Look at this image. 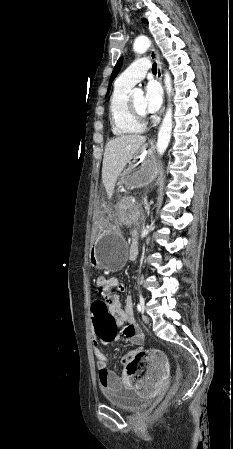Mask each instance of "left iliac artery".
Wrapping results in <instances>:
<instances>
[{
  "instance_id": "44dca946",
  "label": "left iliac artery",
  "mask_w": 233,
  "mask_h": 449,
  "mask_svg": "<svg viewBox=\"0 0 233 449\" xmlns=\"http://www.w3.org/2000/svg\"><path fill=\"white\" fill-rule=\"evenodd\" d=\"M137 309L139 312H143L144 309V299L141 294L139 296V303L137 304Z\"/></svg>"
}]
</instances>
